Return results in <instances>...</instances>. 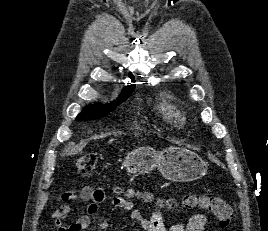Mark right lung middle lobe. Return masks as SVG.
<instances>
[{
	"mask_svg": "<svg viewBox=\"0 0 268 231\" xmlns=\"http://www.w3.org/2000/svg\"><path fill=\"white\" fill-rule=\"evenodd\" d=\"M119 105V104H117ZM116 105H89L82 113H80L76 120H94L106 116L110 111L114 110Z\"/></svg>",
	"mask_w": 268,
	"mask_h": 231,
	"instance_id": "right-lung-middle-lobe-1",
	"label": "right lung middle lobe"
}]
</instances>
